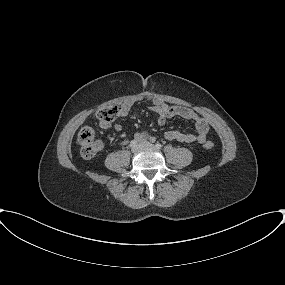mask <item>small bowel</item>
Masks as SVG:
<instances>
[{"mask_svg":"<svg viewBox=\"0 0 285 285\" xmlns=\"http://www.w3.org/2000/svg\"><path fill=\"white\" fill-rule=\"evenodd\" d=\"M142 101L150 102L149 110L157 115V123L160 126L166 124V122L173 117H181L187 120H191L194 122L196 133H184L178 130H170L165 133V139L169 141H177L180 143H204L207 139L209 133V124L208 122L196 114L192 109L182 106H170L164 102L163 99L154 95H137L126 99L122 104V117H126L129 115L131 108ZM99 126L101 128H108L109 124L99 122ZM114 129L117 132L122 130V125L116 123L114 125ZM135 140L137 142H144L149 139L151 141H155V137L150 136L146 132H140L135 135Z\"/></svg>","mask_w":285,"mask_h":285,"instance_id":"obj_1","label":"small bowel"}]
</instances>
